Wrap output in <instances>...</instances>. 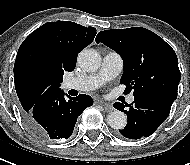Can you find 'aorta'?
Returning a JSON list of instances; mask_svg holds the SVG:
<instances>
[{
	"label": "aorta",
	"mask_w": 190,
	"mask_h": 165,
	"mask_svg": "<svg viewBox=\"0 0 190 165\" xmlns=\"http://www.w3.org/2000/svg\"><path fill=\"white\" fill-rule=\"evenodd\" d=\"M77 61L83 70L94 72L100 67L101 58L96 50L84 49L79 53ZM107 121L111 128L118 130L123 129L126 126L127 117L123 112L114 110L108 114Z\"/></svg>",
	"instance_id": "1"
}]
</instances>
